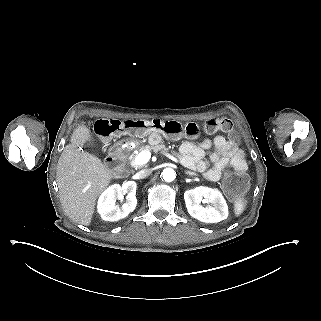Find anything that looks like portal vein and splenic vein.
I'll return each mask as SVG.
<instances>
[{"label": "portal vein and splenic vein", "instance_id": "18ae733b", "mask_svg": "<svg viewBox=\"0 0 321 321\" xmlns=\"http://www.w3.org/2000/svg\"><path fill=\"white\" fill-rule=\"evenodd\" d=\"M151 158V152L144 150L141 151L132 161H131V166L132 167H138V166H142L146 163L149 162Z\"/></svg>", "mask_w": 321, "mask_h": 321}]
</instances>
